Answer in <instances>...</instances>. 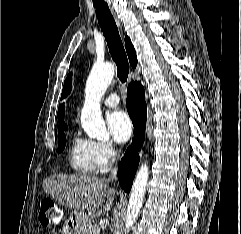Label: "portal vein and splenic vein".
Here are the masks:
<instances>
[{"label": "portal vein and splenic vein", "mask_w": 241, "mask_h": 234, "mask_svg": "<svg viewBox=\"0 0 241 234\" xmlns=\"http://www.w3.org/2000/svg\"><path fill=\"white\" fill-rule=\"evenodd\" d=\"M96 229H99V227L96 226L95 229H93V230H96Z\"/></svg>", "instance_id": "18ae733b"}]
</instances>
